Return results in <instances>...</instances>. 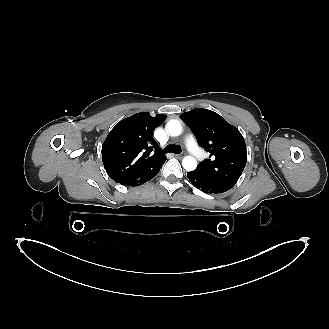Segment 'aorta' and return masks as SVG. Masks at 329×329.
Here are the masks:
<instances>
[{
    "mask_svg": "<svg viewBox=\"0 0 329 329\" xmlns=\"http://www.w3.org/2000/svg\"><path fill=\"white\" fill-rule=\"evenodd\" d=\"M166 130L173 137L179 136L181 134V132H182L181 123L178 120H170L166 124ZM182 166L187 171H193L197 167V161L192 156H186L182 160Z\"/></svg>",
    "mask_w": 329,
    "mask_h": 329,
    "instance_id": "obj_1",
    "label": "aorta"
}]
</instances>
